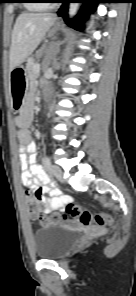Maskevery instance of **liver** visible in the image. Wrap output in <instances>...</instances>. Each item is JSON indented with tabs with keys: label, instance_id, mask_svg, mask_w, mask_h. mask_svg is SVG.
I'll use <instances>...</instances> for the list:
<instances>
[{
	"label": "liver",
	"instance_id": "1",
	"mask_svg": "<svg viewBox=\"0 0 136 296\" xmlns=\"http://www.w3.org/2000/svg\"><path fill=\"white\" fill-rule=\"evenodd\" d=\"M56 19L51 13H22L17 17L11 36L10 71L33 53Z\"/></svg>",
	"mask_w": 136,
	"mask_h": 296
}]
</instances>
